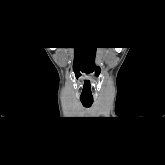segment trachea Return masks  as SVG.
I'll return each instance as SVG.
<instances>
[{"label": "trachea", "mask_w": 165, "mask_h": 165, "mask_svg": "<svg viewBox=\"0 0 165 165\" xmlns=\"http://www.w3.org/2000/svg\"><path fill=\"white\" fill-rule=\"evenodd\" d=\"M81 103L83 104L84 107H90L93 103V100H83V99H81Z\"/></svg>", "instance_id": "obj_1"}]
</instances>
